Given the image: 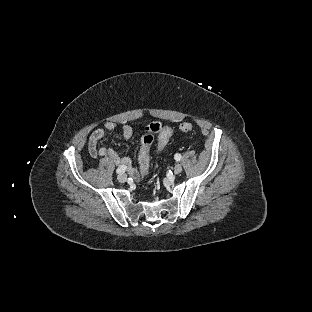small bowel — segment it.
I'll return each instance as SVG.
<instances>
[{
	"instance_id": "small-bowel-1",
	"label": "small bowel",
	"mask_w": 312,
	"mask_h": 312,
	"mask_svg": "<svg viewBox=\"0 0 312 312\" xmlns=\"http://www.w3.org/2000/svg\"><path fill=\"white\" fill-rule=\"evenodd\" d=\"M117 127V123L113 121L106 122L103 127L97 128L94 130L88 139V151L90 155L94 158L97 157H109L116 164L127 165L129 175L137 180L139 173L135 167L132 166L131 161L124 156L118 155L113 149L106 147H98V144L101 139L104 138L106 133L115 130ZM121 134L124 139H130L134 134V128L131 125L124 124L121 127Z\"/></svg>"
}]
</instances>
